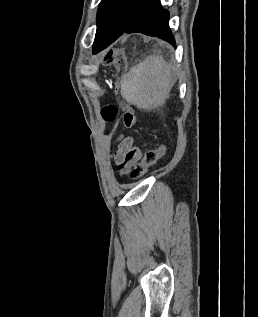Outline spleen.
Returning <instances> with one entry per match:
<instances>
[{"label": "spleen", "mask_w": 258, "mask_h": 317, "mask_svg": "<svg viewBox=\"0 0 258 317\" xmlns=\"http://www.w3.org/2000/svg\"><path fill=\"white\" fill-rule=\"evenodd\" d=\"M174 82L170 64L163 56L152 54L131 66L121 82V94L137 108L151 110L165 104Z\"/></svg>", "instance_id": "spleen-1"}]
</instances>
